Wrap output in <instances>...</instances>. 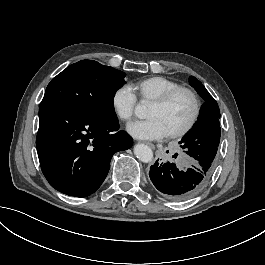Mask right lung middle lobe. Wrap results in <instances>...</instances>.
Returning a JSON list of instances; mask_svg holds the SVG:
<instances>
[{
    "label": "right lung middle lobe",
    "mask_w": 265,
    "mask_h": 265,
    "mask_svg": "<svg viewBox=\"0 0 265 265\" xmlns=\"http://www.w3.org/2000/svg\"><path fill=\"white\" fill-rule=\"evenodd\" d=\"M126 74L93 60L74 63L48 84L41 103H55L92 117L117 120L113 98Z\"/></svg>",
    "instance_id": "1"
}]
</instances>
